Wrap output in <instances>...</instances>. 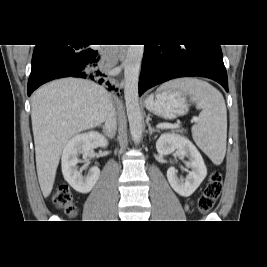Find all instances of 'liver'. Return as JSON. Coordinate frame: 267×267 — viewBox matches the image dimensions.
Masks as SVG:
<instances>
[{
	"label": "liver",
	"mask_w": 267,
	"mask_h": 267,
	"mask_svg": "<svg viewBox=\"0 0 267 267\" xmlns=\"http://www.w3.org/2000/svg\"><path fill=\"white\" fill-rule=\"evenodd\" d=\"M110 99L104 87L75 78L52 81L32 95L36 169L45 198L53 189L63 148L74 135L106 120Z\"/></svg>",
	"instance_id": "liver-1"
}]
</instances>
